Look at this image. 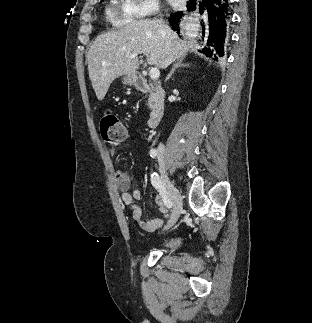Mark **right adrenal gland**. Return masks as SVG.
I'll return each instance as SVG.
<instances>
[{
  "mask_svg": "<svg viewBox=\"0 0 312 323\" xmlns=\"http://www.w3.org/2000/svg\"><path fill=\"white\" fill-rule=\"evenodd\" d=\"M183 60H185V58H180V60H177L176 64H174V68H172L170 74H168L166 80H170L172 74H174L176 68H186V66H188V64H183ZM165 80V82H166Z\"/></svg>",
  "mask_w": 312,
  "mask_h": 323,
  "instance_id": "right-adrenal-gland-1",
  "label": "right adrenal gland"
}]
</instances>
